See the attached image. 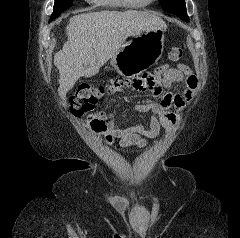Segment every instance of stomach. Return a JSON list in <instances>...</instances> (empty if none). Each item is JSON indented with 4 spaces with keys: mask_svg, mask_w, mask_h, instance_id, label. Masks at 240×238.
<instances>
[{
    "mask_svg": "<svg viewBox=\"0 0 240 238\" xmlns=\"http://www.w3.org/2000/svg\"><path fill=\"white\" fill-rule=\"evenodd\" d=\"M163 29L147 30L121 46L111 65L124 77H134L153 66L164 49Z\"/></svg>",
    "mask_w": 240,
    "mask_h": 238,
    "instance_id": "stomach-1",
    "label": "stomach"
}]
</instances>
